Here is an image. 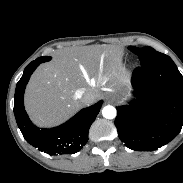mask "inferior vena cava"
I'll return each mask as SVG.
<instances>
[{"label":"inferior vena cava","mask_w":183,"mask_h":183,"mask_svg":"<svg viewBox=\"0 0 183 183\" xmlns=\"http://www.w3.org/2000/svg\"><path fill=\"white\" fill-rule=\"evenodd\" d=\"M78 98L81 99V101L84 104H91L94 102L96 94L92 90H84V91H79L77 93Z\"/></svg>","instance_id":"1"}]
</instances>
